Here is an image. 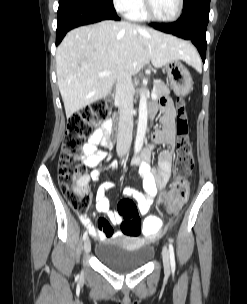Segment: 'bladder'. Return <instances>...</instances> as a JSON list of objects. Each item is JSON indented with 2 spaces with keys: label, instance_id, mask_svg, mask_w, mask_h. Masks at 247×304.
<instances>
[{
  "label": "bladder",
  "instance_id": "obj_1",
  "mask_svg": "<svg viewBox=\"0 0 247 304\" xmlns=\"http://www.w3.org/2000/svg\"><path fill=\"white\" fill-rule=\"evenodd\" d=\"M154 248L131 238L105 239L96 247V258L109 270L124 274L146 266L154 257Z\"/></svg>",
  "mask_w": 247,
  "mask_h": 304
}]
</instances>
